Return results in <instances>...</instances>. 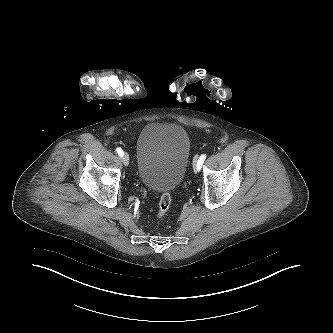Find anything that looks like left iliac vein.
<instances>
[{
	"mask_svg": "<svg viewBox=\"0 0 333 333\" xmlns=\"http://www.w3.org/2000/svg\"><path fill=\"white\" fill-rule=\"evenodd\" d=\"M193 167H194V171L197 172L198 169H197V159L196 158L193 161Z\"/></svg>",
	"mask_w": 333,
	"mask_h": 333,
	"instance_id": "obj_1",
	"label": "left iliac vein"
}]
</instances>
